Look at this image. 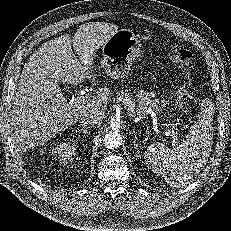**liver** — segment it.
<instances>
[{"instance_id": "6515ba94", "label": "liver", "mask_w": 231, "mask_h": 231, "mask_svg": "<svg viewBox=\"0 0 231 231\" xmlns=\"http://www.w3.org/2000/svg\"><path fill=\"white\" fill-rule=\"evenodd\" d=\"M117 30L118 26L105 22L83 24L73 39L69 34L61 35L43 43L30 56L19 78L8 124L17 154L44 144L86 113H92L99 123L103 121L110 95L107 88H101L86 103L68 102L59 83L75 85L85 77L95 81L96 74L89 72L94 51Z\"/></svg>"}]
</instances>
